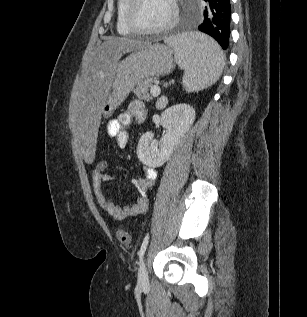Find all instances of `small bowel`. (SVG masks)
<instances>
[{"mask_svg":"<svg viewBox=\"0 0 307 317\" xmlns=\"http://www.w3.org/2000/svg\"><path fill=\"white\" fill-rule=\"evenodd\" d=\"M145 117L146 109L143 103L140 101H132L129 104L127 111L121 113L117 118L112 119L107 123V133L109 136L116 139L119 147L125 148L129 142V135L126 131V127L132 123L133 119L142 122ZM91 177L98 205L113 219L120 221L129 217L141 215L147 211V191L154 185L157 178V172L152 167H143V175L133 180V184L138 191V196L132 204L125 207L117 206L103 191V184L113 180V175L93 170Z\"/></svg>","mask_w":307,"mask_h":317,"instance_id":"c3829d8e","label":"small bowel"}]
</instances>
